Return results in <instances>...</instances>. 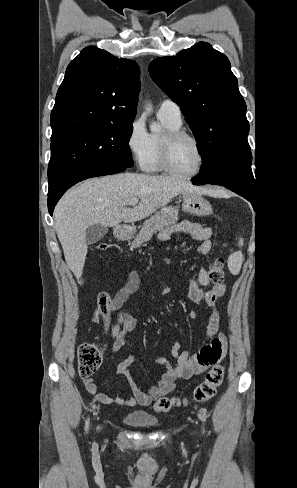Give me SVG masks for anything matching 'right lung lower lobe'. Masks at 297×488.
I'll list each match as a JSON object with an SVG mask.
<instances>
[{
  "label": "right lung lower lobe",
  "instance_id": "obj_1",
  "mask_svg": "<svg viewBox=\"0 0 297 488\" xmlns=\"http://www.w3.org/2000/svg\"><path fill=\"white\" fill-rule=\"evenodd\" d=\"M125 169L126 168H124V167H114V168H103V169L93 170V171H89V172L73 179L72 181L68 182L66 185H64V187H62L54 195L48 196V210H49L50 215L52 216L54 207H55L56 203L58 202V200L61 198V196L64 194V192L68 188L73 186L74 184H76L82 180H85L87 178L104 176V175H109V174H115V173L121 172Z\"/></svg>",
  "mask_w": 297,
  "mask_h": 488
}]
</instances>
